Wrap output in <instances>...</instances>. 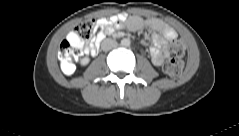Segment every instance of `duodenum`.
Wrapping results in <instances>:
<instances>
[{
    "instance_id": "obj_1",
    "label": "duodenum",
    "mask_w": 239,
    "mask_h": 136,
    "mask_svg": "<svg viewBox=\"0 0 239 136\" xmlns=\"http://www.w3.org/2000/svg\"><path fill=\"white\" fill-rule=\"evenodd\" d=\"M104 38H105L104 34H100L95 38L94 44L91 48L92 55L97 54V52L99 51V48H100V44L104 40Z\"/></svg>"
}]
</instances>
